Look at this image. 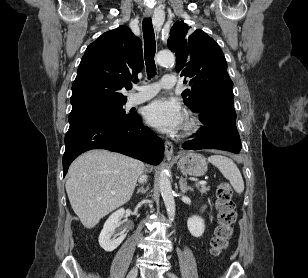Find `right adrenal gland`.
Wrapping results in <instances>:
<instances>
[{"instance_id":"1","label":"right adrenal gland","mask_w":308,"mask_h":278,"mask_svg":"<svg viewBox=\"0 0 308 278\" xmlns=\"http://www.w3.org/2000/svg\"><path fill=\"white\" fill-rule=\"evenodd\" d=\"M146 191H147V187L146 188H144V187H140L138 190H137V194H145L146 193Z\"/></svg>"}]
</instances>
